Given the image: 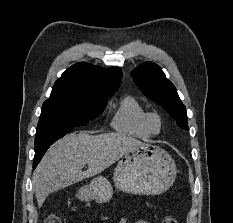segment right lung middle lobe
Returning <instances> with one entry per match:
<instances>
[{
    "label": "right lung middle lobe",
    "instance_id": "dd1d6c3e",
    "mask_svg": "<svg viewBox=\"0 0 233 223\" xmlns=\"http://www.w3.org/2000/svg\"><path fill=\"white\" fill-rule=\"evenodd\" d=\"M106 102L73 98H49L42 105L35 138V154L45 152L75 127L84 126L99 116Z\"/></svg>",
    "mask_w": 233,
    "mask_h": 223
}]
</instances>
